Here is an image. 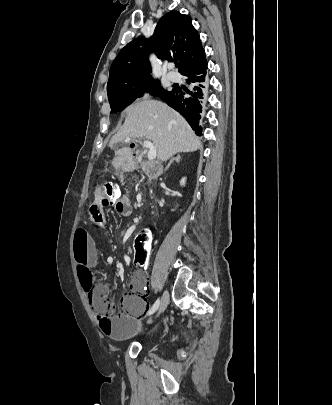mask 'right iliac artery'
Instances as JSON below:
<instances>
[{
  "instance_id": "obj_1",
  "label": "right iliac artery",
  "mask_w": 332,
  "mask_h": 405,
  "mask_svg": "<svg viewBox=\"0 0 332 405\" xmlns=\"http://www.w3.org/2000/svg\"><path fill=\"white\" fill-rule=\"evenodd\" d=\"M159 305H160V300L157 299L156 302L151 307V309L147 312V315L153 314L158 309Z\"/></svg>"
}]
</instances>
